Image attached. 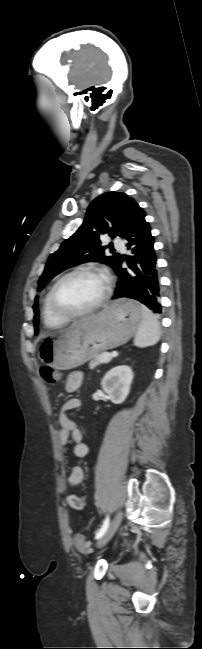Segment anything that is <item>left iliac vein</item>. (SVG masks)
<instances>
[{"label": "left iliac vein", "instance_id": "4c4485c4", "mask_svg": "<svg viewBox=\"0 0 202 649\" xmlns=\"http://www.w3.org/2000/svg\"><path fill=\"white\" fill-rule=\"evenodd\" d=\"M122 512H118L114 519L112 520L110 526L108 527L107 531L103 534L102 537H100L98 543H97V548H101L104 545H106L109 540L113 537L115 532L117 531L121 521H122Z\"/></svg>", "mask_w": 202, "mask_h": 649}]
</instances>
